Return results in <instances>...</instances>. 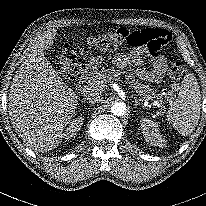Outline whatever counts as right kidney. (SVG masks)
<instances>
[{"label": "right kidney", "mask_w": 206, "mask_h": 206, "mask_svg": "<svg viewBox=\"0 0 206 206\" xmlns=\"http://www.w3.org/2000/svg\"><path fill=\"white\" fill-rule=\"evenodd\" d=\"M83 121V117H78L71 122L70 126L66 129V139L74 137L77 134V132L81 129L83 125Z\"/></svg>", "instance_id": "1"}]
</instances>
